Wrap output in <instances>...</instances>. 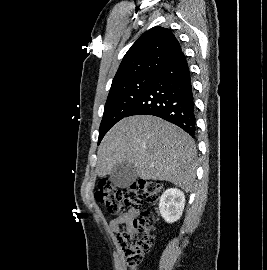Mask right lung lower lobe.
<instances>
[{
	"label": "right lung lower lobe",
	"mask_w": 267,
	"mask_h": 270,
	"mask_svg": "<svg viewBox=\"0 0 267 270\" xmlns=\"http://www.w3.org/2000/svg\"><path fill=\"white\" fill-rule=\"evenodd\" d=\"M154 115L186 131L196 133L195 104L191 76L186 57L180 51L154 78L140 100L126 117Z\"/></svg>",
	"instance_id": "right-lung-lower-lobe-1"
}]
</instances>
